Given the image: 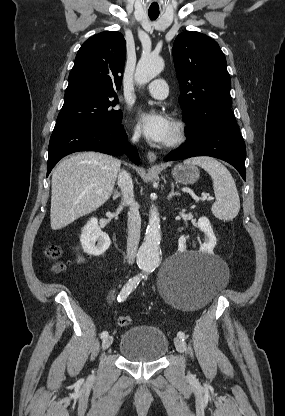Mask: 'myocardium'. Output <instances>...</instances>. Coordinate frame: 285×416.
<instances>
[{
    "instance_id": "myocardium-1",
    "label": "myocardium",
    "mask_w": 285,
    "mask_h": 416,
    "mask_svg": "<svg viewBox=\"0 0 285 416\" xmlns=\"http://www.w3.org/2000/svg\"><path fill=\"white\" fill-rule=\"evenodd\" d=\"M184 137H185V132H184L183 126L179 124L178 122H175L173 124L172 136L167 141L165 146L167 148H175L183 142Z\"/></svg>"
}]
</instances>
